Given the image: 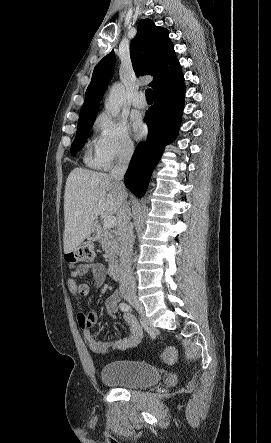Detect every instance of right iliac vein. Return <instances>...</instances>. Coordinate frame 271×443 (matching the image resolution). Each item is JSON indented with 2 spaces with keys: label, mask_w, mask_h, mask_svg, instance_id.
Masks as SVG:
<instances>
[{
  "label": "right iliac vein",
  "mask_w": 271,
  "mask_h": 443,
  "mask_svg": "<svg viewBox=\"0 0 271 443\" xmlns=\"http://www.w3.org/2000/svg\"><path fill=\"white\" fill-rule=\"evenodd\" d=\"M125 299L132 304L133 306H135L137 309H139L140 311H143V305L142 303L139 301L138 297L135 294H127L125 295Z\"/></svg>",
  "instance_id": "right-iliac-vein-1"
}]
</instances>
